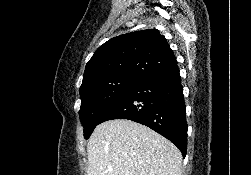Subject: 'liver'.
<instances>
[{"instance_id":"1","label":"liver","mask_w":251,"mask_h":175,"mask_svg":"<svg viewBox=\"0 0 251 175\" xmlns=\"http://www.w3.org/2000/svg\"><path fill=\"white\" fill-rule=\"evenodd\" d=\"M87 157V175L182 173V153L178 147L147 125L130 119L99 123L87 143Z\"/></svg>"}]
</instances>
